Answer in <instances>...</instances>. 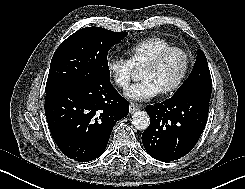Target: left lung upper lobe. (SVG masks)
I'll list each match as a JSON object with an SVG mask.
<instances>
[{
    "label": "left lung upper lobe",
    "instance_id": "5c2ea615",
    "mask_svg": "<svg viewBox=\"0 0 245 189\" xmlns=\"http://www.w3.org/2000/svg\"><path fill=\"white\" fill-rule=\"evenodd\" d=\"M187 93H199L211 97V75L205 54L200 49L197 50V58L191 74L173 96Z\"/></svg>",
    "mask_w": 245,
    "mask_h": 189
}]
</instances>
